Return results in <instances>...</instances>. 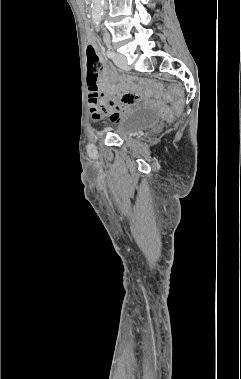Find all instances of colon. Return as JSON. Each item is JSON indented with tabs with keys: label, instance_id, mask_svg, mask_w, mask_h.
<instances>
[{
	"label": "colon",
	"instance_id": "5ec220e1",
	"mask_svg": "<svg viewBox=\"0 0 241 379\" xmlns=\"http://www.w3.org/2000/svg\"><path fill=\"white\" fill-rule=\"evenodd\" d=\"M86 61H87L88 84L97 83L98 72H99V57L96 53L95 47L92 44H89L86 48ZM105 97L109 99H117L119 97V94L117 92H109L105 94ZM145 98H150V97H145ZM169 103H171L172 106H168L167 104ZM142 106H145V105H142ZM154 106L158 107V109L161 111L164 117L173 118L175 115L181 112L183 108V100L179 98L171 99L169 97L162 98L160 102L154 103Z\"/></svg>",
	"mask_w": 241,
	"mask_h": 379
}]
</instances>
